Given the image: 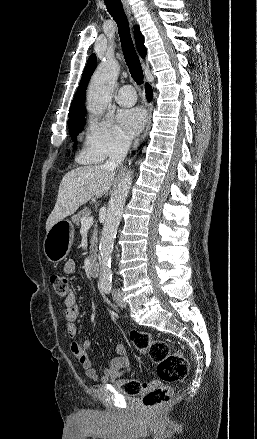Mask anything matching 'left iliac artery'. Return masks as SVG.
<instances>
[{"label": "left iliac artery", "instance_id": "1", "mask_svg": "<svg viewBox=\"0 0 257 439\" xmlns=\"http://www.w3.org/2000/svg\"><path fill=\"white\" fill-rule=\"evenodd\" d=\"M101 288L104 292L109 293L111 291V283L110 282H105L101 285Z\"/></svg>", "mask_w": 257, "mask_h": 439}]
</instances>
